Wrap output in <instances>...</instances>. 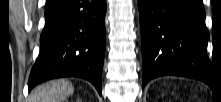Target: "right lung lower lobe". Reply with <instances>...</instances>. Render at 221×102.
<instances>
[{"mask_svg": "<svg viewBox=\"0 0 221 102\" xmlns=\"http://www.w3.org/2000/svg\"><path fill=\"white\" fill-rule=\"evenodd\" d=\"M105 14L106 0H56L46 7L29 91L50 79L79 77L90 81L101 95Z\"/></svg>", "mask_w": 221, "mask_h": 102, "instance_id": "obj_1", "label": "right lung lower lobe"}]
</instances>
